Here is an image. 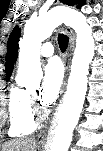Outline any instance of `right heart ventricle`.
Listing matches in <instances>:
<instances>
[{
	"label": "right heart ventricle",
	"instance_id": "obj_1",
	"mask_svg": "<svg viewBox=\"0 0 103 151\" xmlns=\"http://www.w3.org/2000/svg\"><path fill=\"white\" fill-rule=\"evenodd\" d=\"M9 114L11 137H21L32 134L37 121L33 111L29 93L17 85H12L9 94Z\"/></svg>",
	"mask_w": 103,
	"mask_h": 151
}]
</instances>
